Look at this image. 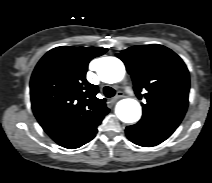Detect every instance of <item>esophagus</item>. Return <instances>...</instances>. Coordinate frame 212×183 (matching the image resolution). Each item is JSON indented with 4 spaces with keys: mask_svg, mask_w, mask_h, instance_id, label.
<instances>
[{
    "mask_svg": "<svg viewBox=\"0 0 212 183\" xmlns=\"http://www.w3.org/2000/svg\"><path fill=\"white\" fill-rule=\"evenodd\" d=\"M122 97H123V93L121 91H118L117 94L112 98V101L115 102Z\"/></svg>",
    "mask_w": 212,
    "mask_h": 183,
    "instance_id": "1",
    "label": "esophagus"
}]
</instances>
